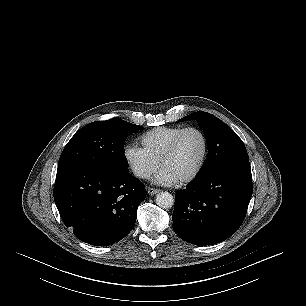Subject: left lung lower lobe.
Masks as SVG:
<instances>
[{
	"label": "left lung lower lobe",
	"instance_id": "obj_1",
	"mask_svg": "<svg viewBox=\"0 0 306 306\" xmlns=\"http://www.w3.org/2000/svg\"><path fill=\"white\" fill-rule=\"evenodd\" d=\"M252 190L249 162L219 166L198 175L176 193L175 233L199 246L226 240L244 221Z\"/></svg>",
	"mask_w": 306,
	"mask_h": 306
}]
</instances>
